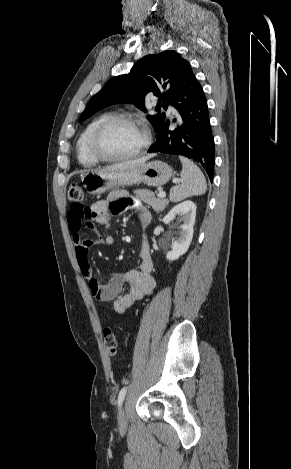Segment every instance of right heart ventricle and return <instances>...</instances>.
I'll list each match as a JSON object with an SVG mask.
<instances>
[{
  "instance_id": "right-heart-ventricle-1",
  "label": "right heart ventricle",
  "mask_w": 291,
  "mask_h": 469,
  "mask_svg": "<svg viewBox=\"0 0 291 469\" xmlns=\"http://www.w3.org/2000/svg\"><path fill=\"white\" fill-rule=\"evenodd\" d=\"M109 113H103L90 121L79 135L76 142L77 159L83 167H94L100 163L90 149V139L95 128L107 117Z\"/></svg>"
}]
</instances>
